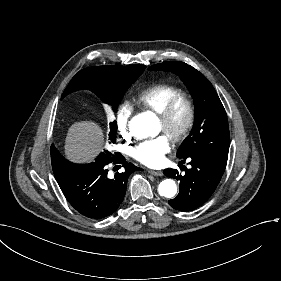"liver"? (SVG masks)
Here are the masks:
<instances>
[{
	"label": "liver",
	"instance_id": "obj_1",
	"mask_svg": "<svg viewBox=\"0 0 281 281\" xmlns=\"http://www.w3.org/2000/svg\"><path fill=\"white\" fill-rule=\"evenodd\" d=\"M105 133L99 123L81 120L72 123L64 142L65 158L75 164H88L104 150Z\"/></svg>",
	"mask_w": 281,
	"mask_h": 281
}]
</instances>
